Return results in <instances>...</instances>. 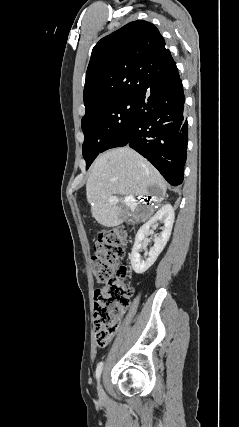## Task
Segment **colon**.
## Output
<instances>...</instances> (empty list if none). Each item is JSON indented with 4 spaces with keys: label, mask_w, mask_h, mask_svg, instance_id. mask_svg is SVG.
Wrapping results in <instances>:
<instances>
[{
    "label": "colon",
    "mask_w": 239,
    "mask_h": 427,
    "mask_svg": "<svg viewBox=\"0 0 239 427\" xmlns=\"http://www.w3.org/2000/svg\"><path fill=\"white\" fill-rule=\"evenodd\" d=\"M127 235L123 227L102 231L91 259L94 279L101 285L94 295V328L99 347L107 346L113 338L133 293L127 282V267L122 264Z\"/></svg>",
    "instance_id": "5ec220e1"
}]
</instances>
